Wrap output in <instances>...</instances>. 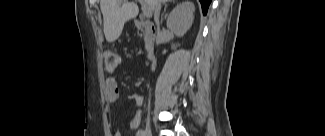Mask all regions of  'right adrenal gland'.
<instances>
[{"mask_svg":"<svg viewBox=\"0 0 325 136\" xmlns=\"http://www.w3.org/2000/svg\"><path fill=\"white\" fill-rule=\"evenodd\" d=\"M167 6H168V5L165 4L164 12H163V15H162V21H163V16H164V18H166V16H167V14H165Z\"/></svg>","mask_w":325,"mask_h":136,"instance_id":"1","label":"right adrenal gland"}]
</instances>
